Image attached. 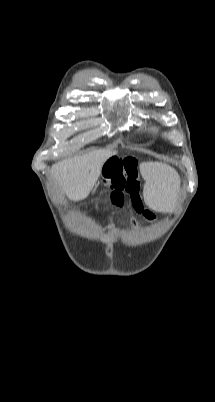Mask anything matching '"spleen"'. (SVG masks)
Instances as JSON below:
<instances>
[{"label": "spleen", "instance_id": "1", "mask_svg": "<svg viewBox=\"0 0 215 402\" xmlns=\"http://www.w3.org/2000/svg\"><path fill=\"white\" fill-rule=\"evenodd\" d=\"M140 170L146 180L144 195L148 210H172V196L175 195L172 187L178 186V176L172 174L170 168L159 163H143Z\"/></svg>", "mask_w": 215, "mask_h": 402}]
</instances>
